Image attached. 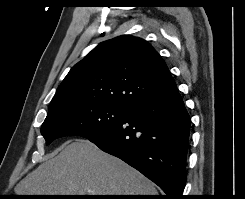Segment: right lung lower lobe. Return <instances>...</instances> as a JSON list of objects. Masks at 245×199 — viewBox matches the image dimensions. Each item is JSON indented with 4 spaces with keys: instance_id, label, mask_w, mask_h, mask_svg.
<instances>
[{
    "instance_id": "98d812e1",
    "label": "right lung lower lobe",
    "mask_w": 245,
    "mask_h": 199,
    "mask_svg": "<svg viewBox=\"0 0 245 199\" xmlns=\"http://www.w3.org/2000/svg\"><path fill=\"white\" fill-rule=\"evenodd\" d=\"M190 123L176 88L129 108L119 122L88 139L152 180L165 199H183Z\"/></svg>"
}]
</instances>
